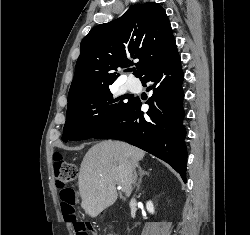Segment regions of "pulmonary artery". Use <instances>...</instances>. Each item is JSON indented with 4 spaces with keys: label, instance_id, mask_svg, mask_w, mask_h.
<instances>
[{
    "label": "pulmonary artery",
    "instance_id": "pulmonary-artery-1",
    "mask_svg": "<svg viewBox=\"0 0 250 235\" xmlns=\"http://www.w3.org/2000/svg\"><path fill=\"white\" fill-rule=\"evenodd\" d=\"M138 85H139L138 82H135V83H133L131 81L128 82V87H129L130 90H134L135 88L138 87Z\"/></svg>",
    "mask_w": 250,
    "mask_h": 235
}]
</instances>
